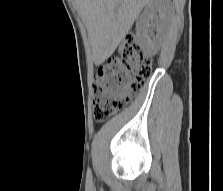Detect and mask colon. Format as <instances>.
I'll return each instance as SVG.
<instances>
[{"label": "colon", "instance_id": "colon-1", "mask_svg": "<svg viewBox=\"0 0 223 191\" xmlns=\"http://www.w3.org/2000/svg\"><path fill=\"white\" fill-rule=\"evenodd\" d=\"M120 57H113L95 77L93 116L105 121L122 109L142 88L152 70V57L128 36L120 46Z\"/></svg>", "mask_w": 223, "mask_h": 191}]
</instances>
